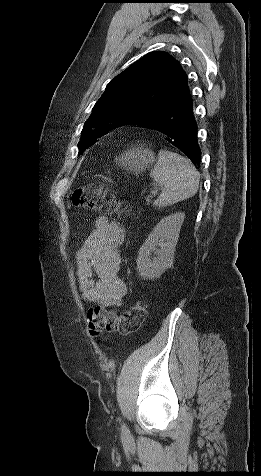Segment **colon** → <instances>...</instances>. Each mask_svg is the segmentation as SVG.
Returning <instances> with one entry per match:
<instances>
[{
	"label": "colon",
	"mask_w": 261,
	"mask_h": 476,
	"mask_svg": "<svg viewBox=\"0 0 261 476\" xmlns=\"http://www.w3.org/2000/svg\"><path fill=\"white\" fill-rule=\"evenodd\" d=\"M70 201L76 207L104 211L110 215H119L121 212L113 194L100 183H91L75 189ZM146 314V305L141 301L131 304L122 314L99 305L93 306L87 312L88 330L93 337H98L104 332L126 335L142 325Z\"/></svg>",
	"instance_id": "5ec220e1"
}]
</instances>
